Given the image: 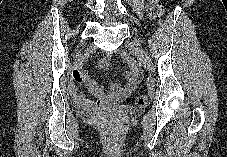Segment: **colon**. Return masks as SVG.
<instances>
[{
  "label": "colon",
  "mask_w": 227,
  "mask_h": 157,
  "mask_svg": "<svg viewBox=\"0 0 227 157\" xmlns=\"http://www.w3.org/2000/svg\"><path fill=\"white\" fill-rule=\"evenodd\" d=\"M146 12L150 18L161 20L164 13L162 0H147ZM149 101L150 98L148 95L141 94L135 98L134 103L138 107H144L149 104Z\"/></svg>",
  "instance_id": "colon-1"
}]
</instances>
